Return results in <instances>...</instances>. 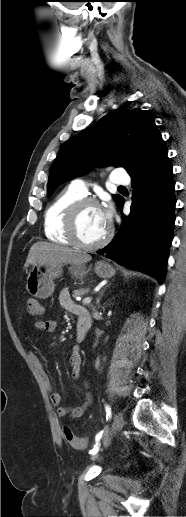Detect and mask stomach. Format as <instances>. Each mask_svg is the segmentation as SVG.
<instances>
[{"mask_svg": "<svg viewBox=\"0 0 186 517\" xmlns=\"http://www.w3.org/2000/svg\"><path fill=\"white\" fill-rule=\"evenodd\" d=\"M71 274L76 278H83L91 268L85 264H71ZM63 271V265H34L29 271L26 281V289L32 296L45 299L51 296L55 289L54 279L59 278ZM94 272L101 278H111L115 275V269L105 261L95 264Z\"/></svg>", "mask_w": 186, "mask_h": 517, "instance_id": "obj_1", "label": "stomach"}]
</instances>
